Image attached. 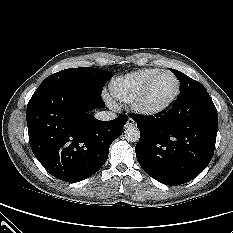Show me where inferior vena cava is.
Returning <instances> with one entry per match:
<instances>
[{
  "mask_svg": "<svg viewBox=\"0 0 233 233\" xmlns=\"http://www.w3.org/2000/svg\"><path fill=\"white\" fill-rule=\"evenodd\" d=\"M95 117L101 121H110L117 117V115L111 111H101L95 114Z\"/></svg>",
  "mask_w": 233,
  "mask_h": 233,
  "instance_id": "inferior-vena-cava-1",
  "label": "inferior vena cava"
}]
</instances>
